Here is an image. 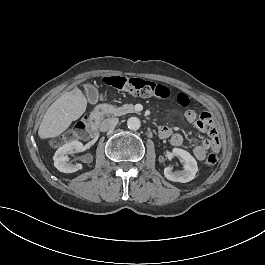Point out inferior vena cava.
I'll return each instance as SVG.
<instances>
[{
	"instance_id": "obj_1",
	"label": "inferior vena cava",
	"mask_w": 265,
	"mask_h": 265,
	"mask_svg": "<svg viewBox=\"0 0 265 265\" xmlns=\"http://www.w3.org/2000/svg\"><path fill=\"white\" fill-rule=\"evenodd\" d=\"M119 119L118 118H107L102 121L100 124V130L102 132L109 131L113 129L118 124Z\"/></svg>"
}]
</instances>
